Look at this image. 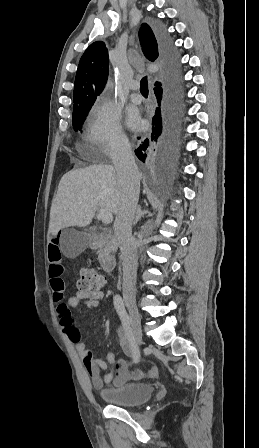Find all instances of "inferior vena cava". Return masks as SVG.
<instances>
[{"label": "inferior vena cava", "instance_id": "1", "mask_svg": "<svg viewBox=\"0 0 259 448\" xmlns=\"http://www.w3.org/2000/svg\"><path fill=\"white\" fill-rule=\"evenodd\" d=\"M112 162L121 190V206L116 216L114 232L123 264V298L124 302H134L138 256L132 236V222L140 194V174L127 138L117 140L112 152Z\"/></svg>", "mask_w": 259, "mask_h": 448}]
</instances>
